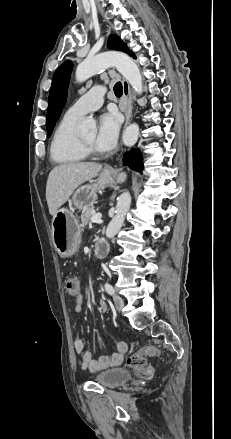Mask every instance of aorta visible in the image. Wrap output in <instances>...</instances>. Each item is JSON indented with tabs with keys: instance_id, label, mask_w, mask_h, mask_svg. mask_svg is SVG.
Returning a JSON list of instances; mask_svg holds the SVG:
<instances>
[{
	"instance_id": "obj_1",
	"label": "aorta",
	"mask_w": 231,
	"mask_h": 439,
	"mask_svg": "<svg viewBox=\"0 0 231 439\" xmlns=\"http://www.w3.org/2000/svg\"><path fill=\"white\" fill-rule=\"evenodd\" d=\"M109 67H115L130 83L134 91L137 94H142L143 82L137 64L127 54L117 51H110L93 57H87L76 68V81L83 82L97 74L99 71ZM80 131L82 133H94L96 131V122L92 118H86L80 126ZM138 136L139 126L136 123L130 124L123 133V142L126 146H133L137 142ZM130 204V193H122L117 200L115 216L107 226V238L114 237L121 229L125 216L129 211Z\"/></svg>"
}]
</instances>
